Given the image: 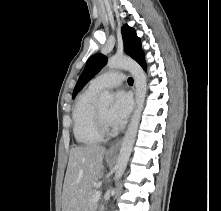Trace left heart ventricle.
Here are the masks:
<instances>
[{
	"label": "left heart ventricle",
	"instance_id": "obj_1",
	"mask_svg": "<svg viewBox=\"0 0 221 211\" xmlns=\"http://www.w3.org/2000/svg\"><path fill=\"white\" fill-rule=\"evenodd\" d=\"M98 109H99L101 115L103 116V118L108 122V113H109L110 107L109 106H100Z\"/></svg>",
	"mask_w": 221,
	"mask_h": 211
}]
</instances>
